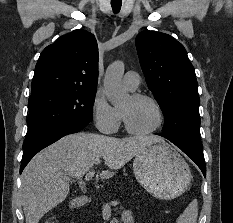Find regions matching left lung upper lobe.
<instances>
[{
	"instance_id": "1",
	"label": "left lung upper lobe",
	"mask_w": 233,
	"mask_h": 223,
	"mask_svg": "<svg viewBox=\"0 0 233 223\" xmlns=\"http://www.w3.org/2000/svg\"><path fill=\"white\" fill-rule=\"evenodd\" d=\"M136 48L147 85L164 115L162 135L201 142L197 80L183 45L168 34L142 31Z\"/></svg>"
}]
</instances>
